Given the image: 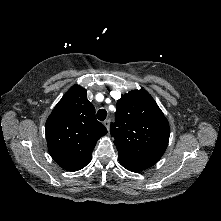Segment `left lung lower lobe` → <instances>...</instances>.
<instances>
[{"instance_id":"obj_1","label":"left lung lower lobe","mask_w":221,"mask_h":221,"mask_svg":"<svg viewBox=\"0 0 221 221\" xmlns=\"http://www.w3.org/2000/svg\"><path fill=\"white\" fill-rule=\"evenodd\" d=\"M121 163V165L126 168L127 170L129 171H132V172H139V171H142L140 170L139 168L127 163V162H123V161H119Z\"/></svg>"}]
</instances>
